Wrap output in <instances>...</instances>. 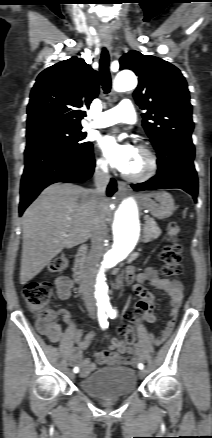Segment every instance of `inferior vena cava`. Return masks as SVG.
<instances>
[{
	"label": "inferior vena cava",
	"mask_w": 212,
	"mask_h": 438,
	"mask_svg": "<svg viewBox=\"0 0 212 438\" xmlns=\"http://www.w3.org/2000/svg\"><path fill=\"white\" fill-rule=\"evenodd\" d=\"M96 188L92 191L97 206L96 216L93 222L91 234V249L85 263L83 290L85 303L89 310H95L94 279L97 267L104 251V239L106 226L104 221V202L106 200V187L110 181L108 170L103 165H97L94 172Z\"/></svg>",
	"instance_id": "1"
}]
</instances>
